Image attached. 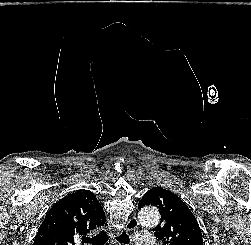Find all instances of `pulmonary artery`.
<instances>
[{"instance_id":"obj_1","label":"pulmonary artery","mask_w":251,"mask_h":245,"mask_svg":"<svg viewBox=\"0 0 251 245\" xmlns=\"http://www.w3.org/2000/svg\"><path fill=\"white\" fill-rule=\"evenodd\" d=\"M136 245H155V238L144 232L134 233Z\"/></svg>"}]
</instances>
